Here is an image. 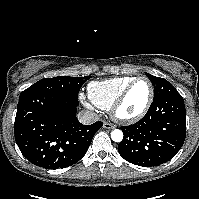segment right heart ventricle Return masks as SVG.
Returning <instances> with one entry per match:
<instances>
[{"label":"right heart ventricle","instance_id":"obj_1","mask_svg":"<svg viewBox=\"0 0 199 199\" xmlns=\"http://www.w3.org/2000/svg\"><path fill=\"white\" fill-rule=\"evenodd\" d=\"M133 79V77L125 76L93 81L87 88L88 97L96 107L100 109H110Z\"/></svg>","mask_w":199,"mask_h":199}]
</instances>
